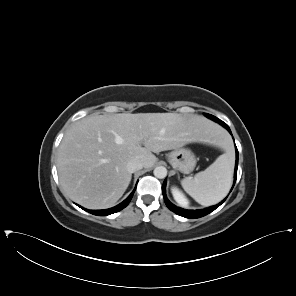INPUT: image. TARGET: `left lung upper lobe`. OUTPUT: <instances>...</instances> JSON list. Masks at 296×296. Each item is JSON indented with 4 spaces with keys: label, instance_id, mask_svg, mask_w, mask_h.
<instances>
[{
    "label": "left lung upper lobe",
    "instance_id": "5c2ea615",
    "mask_svg": "<svg viewBox=\"0 0 296 296\" xmlns=\"http://www.w3.org/2000/svg\"><path fill=\"white\" fill-rule=\"evenodd\" d=\"M205 116L212 119V120H214V121H216V122H218V123H224L223 121H221L220 119H218L217 117H215L213 115L205 113Z\"/></svg>",
    "mask_w": 296,
    "mask_h": 296
}]
</instances>
